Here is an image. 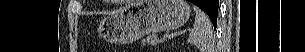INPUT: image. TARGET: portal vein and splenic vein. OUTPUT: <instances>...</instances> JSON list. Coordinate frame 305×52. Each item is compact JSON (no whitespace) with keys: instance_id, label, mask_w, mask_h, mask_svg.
<instances>
[{"instance_id":"1","label":"portal vein and splenic vein","mask_w":305,"mask_h":52,"mask_svg":"<svg viewBox=\"0 0 305 52\" xmlns=\"http://www.w3.org/2000/svg\"><path fill=\"white\" fill-rule=\"evenodd\" d=\"M187 31L192 32L193 30L192 29H188Z\"/></svg>"}]
</instances>
